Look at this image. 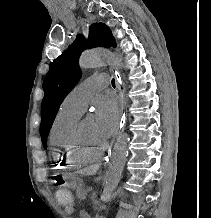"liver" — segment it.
Listing matches in <instances>:
<instances>
[{"instance_id": "1", "label": "liver", "mask_w": 211, "mask_h": 218, "mask_svg": "<svg viewBox=\"0 0 211 218\" xmlns=\"http://www.w3.org/2000/svg\"><path fill=\"white\" fill-rule=\"evenodd\" d=\"M97 170H98V166H92V168H90L91 174H95V172H97Z\"/></svg>"}]
</instances>
